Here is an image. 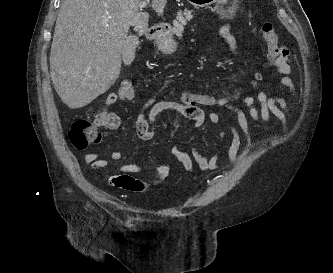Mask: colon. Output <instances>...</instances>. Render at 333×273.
I'll list each match as a JSON object with an SVG mask.
<instances>
[{
  "instance_id": "1",
  "label": "colon",
  "mask_w": 333,
  "mask_h": 273,
  "mask_svg": "<svg viewBox=\"0 0 333 273\" xmlns=\"http://www.w3.org/2000/svg\"><path fill=\"white\" fill-rule=\"evenodd\" d=\"M263 38L267 44L266 62L273 65L281 54V45L278 42V36L271 22L266 21L261 26ZM260 78V75H257ZM119 91L126 97L133 96V86L130 81L123 82ZM180 102L188 106H202L209 108H226L232 104L230 95H216L209 93L185 92L182 94ZM112 119L97 114L93 119L76 120L69 131V139L72 145L83 150L89 145L96 144L101 139L100 129L106 127ZM95 167L98 166L95 164Z\"/></svg>"
}]
</instances>
